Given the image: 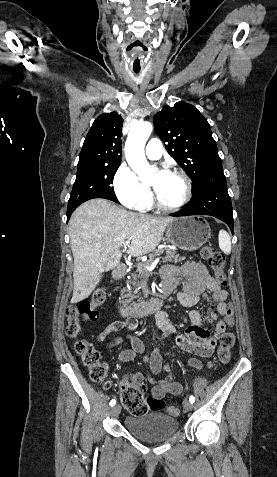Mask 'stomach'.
Listing matches in <instances>:
<instances>
[{
  "instance_id": "0dacf381",
  "label": "stomach",
  "mask_w": 277,
  "mask_h": 477,
  "mask_svg": "<svg viewBox=\"0 0 277 477\" xmlns=\"http://www.w3.org/2000/svg\"><path fill=\"white\" fill-rule=\"evenodd\" d=\"M210 237L209 223L196 216L174 218L166 229L167 241L185 251H195L201 248Z\"/></svg>"
}]
</instances>
